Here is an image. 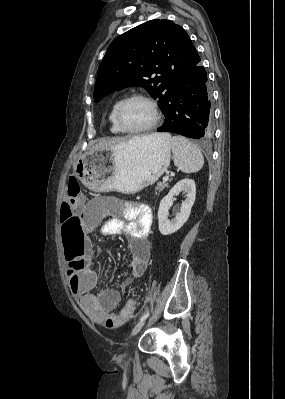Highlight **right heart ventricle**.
I'll use <instances>...</instances> for the list:
<instances>
[{
	"label": "right heart ventricle",
	"instance_id": "e07e8e85",
	"mask_svg": "<svg viewBox=\"0 0 285 399\" xmlns=\"http://www.w3.org/2000/svg\"><path fill=\"white\" fill-rule=\"evenodd\" d=\"M124 99V97H119L117 98L111 106L109 115H108V120H109V126H110V131L114 134H122L125 133L124 131H122L117 123H116V109L118 107V105L120 104V102Z\"/></svg>",
	"mask_w": 285,
	"mask_h": 399
}]
</instances>
